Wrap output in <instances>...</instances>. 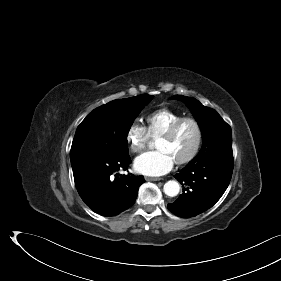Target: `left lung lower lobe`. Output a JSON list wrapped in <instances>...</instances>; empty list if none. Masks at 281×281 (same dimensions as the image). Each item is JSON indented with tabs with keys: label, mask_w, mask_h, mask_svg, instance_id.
Here are the masks:
<instances>
[{
	"label": "left lung lower lobe",
	"mask_w": 281,
	"mask_h": 281,
	"mask_svg": "<svg viewBox=\"0 0 281 281\" xmlns=\"http://www.w3.org/2000/svg\"><path fill=\"white\" fill-rule=\"evenodd\" d=\"M233 162V156L191 161L174 176L184 191L175 202L168 204V209L179 217L189 218L211 208L230 183Z\"/></svg>",
	"instance_id": "left-lung-lower-lobe-1"
}]
</instances>
